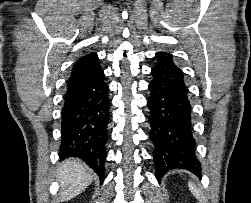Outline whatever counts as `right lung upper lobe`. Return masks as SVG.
I'll return each mask as SVG.
<instances>
[{
    "label": "right lung upper lobe",
    "mask_w": 251,
    "mask_h": 203,
    "mask_svg": "<svg viewBox=\"0 0 251 203\" xmlns=\"http://www.w3.org/2000/svg\"><path fill=\"white\" fill-rule=\"evenodd\" d=\"M97 66H99V61L95 53H91L89 55L80 58L72 68V73L69 78V83Z\"/></svg>",
    "instance_id": "right-lung-upper-lobe-1"
}]
</instances>
